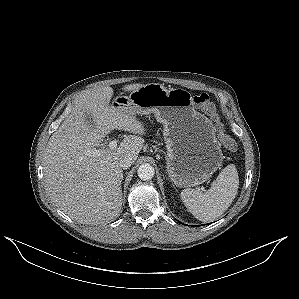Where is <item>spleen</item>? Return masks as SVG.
I'll return each instance as SVG.
<instances>
[{"label":"spleen","mask_w":299,"mask_h":299,"mask_svg":"<svg viewBox=\"0 0 299 299\" xmlns=\"http://www.w3.org/2000/svg\"><path fill=\"white\" fill-rule=\"evenodd\" d=\"M238 188V173L231 164L220 172L208 191L186 188L181 192V200L196 219L209 222L220 217L229 208Z\"/></svg>","instance_id":"1"}]
</instances>
